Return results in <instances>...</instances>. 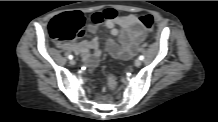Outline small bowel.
Listing matches in <instances>:
<instances>
[{
    "instance_id": "1",
    "label": "small bowel",
    "mask_w": 218,
    "mask_h": 122,
    "mask_svg": "<svg viewBox=\"0 0 218 122\" xmlns=\"http://www.w3.org/2000/svg\"><path fill=\"white\" fill-rule=\"evenodd\" d=\"M92 24V25H91ZM107 27L113 36H118V42L110 38L106 42L105 49L112 56L119 59H128L133 56L145 39L147 29L136 15H118L114 7H105L102 12H94L88 26L90 33H95L97 28ZM121 27V31L117 28ZM63 46L64 43H58ZM70 50L81 55L84 63L93 68L97 65L101 50L99 38L94 37L90 41H79L68 44Z\"/></svg>"
}]
</instances>
